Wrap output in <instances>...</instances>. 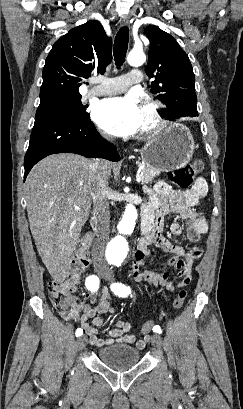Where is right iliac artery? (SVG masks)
Segmentation results:
<instances>
[{
    "instance_id": "1",
    "label": "right iliac artery",
    "mask_w": 243,
    "mask_h": 409,
    "mask_svg": "<svg viewBox=\"0 0 243 409\" xmlns=\"http://www.w3.org/2000/svg\"><path fill=\"white\" fill-rule=\"evenodd\" d=\"M85 285L88 290L95 292L99 288V278L95 275H90L86 278ZM82 334L83 330L81 328H78L75 332L77 337L81 336Z\"/></svg>"
}]
</instances>
